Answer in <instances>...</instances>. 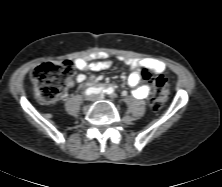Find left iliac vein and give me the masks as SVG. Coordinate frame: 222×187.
<instances>
[{
	"label": "left iliac vein",
	"instance_id": "1",
	"mask_svg": "<svg viewBox=\"0 0 222 187\" xmlns=\"http://www.w3.org/2000/svg\"><path fill=\"white\" fill-rule=\"evenodd\" d=\"M102 98H103L102 95H95V100H100V99H102Z\"/></svg>",
	"mask_w": 222,
	"mask_h": 187
}]
</instances>
